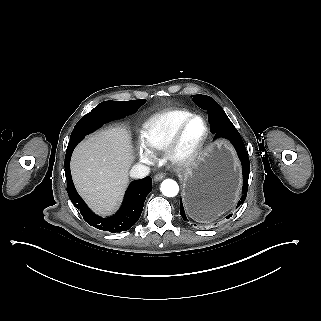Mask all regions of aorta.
Here are the masks:
<instances>
[{
  "mask_svg": "<svg viewBox=\"0 0 321 321\" xmlns=\"http://www.w3.org/2000/svg\"><path fill=\"white\" fill-rule=\"evenodd\" d=\"M162 194L167 197H174L179 192V186L176 181L172 179H166L161 184Z\"/></svg>",
  "mask_w": 321,
  "mask_h": 321,
  "instance_id": "1",
  "label": "aorta"
}]
</instances>
